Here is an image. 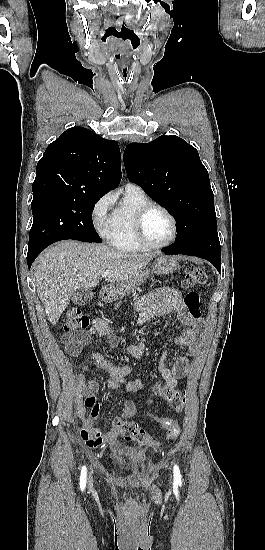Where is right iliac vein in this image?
<instances>
[{
    "instance_id": "63e3f726",
    "label": "right iliac vein",
    "mask_w": 265,
    "mask_h": 550,
    "mask_svg": "<svg viewBox=\"0 0 265 550\" xmlns=\"http://www.w3.org/2000/svg\"><path fill=\"white\" fill-rule=\"evenodd\" d=\"M91 481H92V477L90 476V483H91Z\"/></svg>"
}]
</instances>
